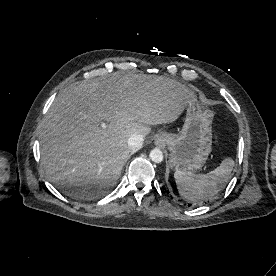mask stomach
I'll return each mask as SVG.
<instances>
[{"instance_id":"stomach-1","label":"stomach","mask_w":276,"mask_h":276,"mask_svg":"<svg viewBox=\"0 0 276 276\" xmlns=\"http://www.w3.org/2000/svg\"><path fill=\"white\" fill-rule=\"evenodd\" d=\"M212 120V112L195 101L188 104L184 126L178 134H159L158 141L170 151L171 168L193 173L205 165L212 150Z\"/></svg>"}]
</instances>
